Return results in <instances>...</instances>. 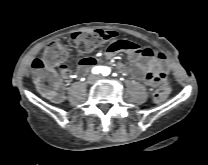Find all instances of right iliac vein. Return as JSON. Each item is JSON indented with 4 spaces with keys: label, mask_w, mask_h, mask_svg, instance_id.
<instances>
[{
    "label": "right iliac vein",
    "mask_w": 208,
    "mask_h": 165,
    "mask_svg": "<svg viewBox=\"0 0 208 165\" xmlns=\"http://www.w3.org/2000/svg\"><path fill=\"white\" fill-rule=\"evenodd\" d=\"M89 81H90V82H93V78L91 77V78L89 79Z\"/></svg>",
    "instance_id": "1"
}]
</instances>
